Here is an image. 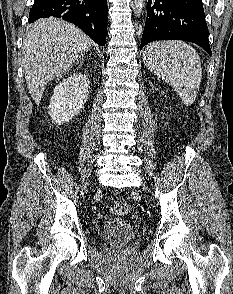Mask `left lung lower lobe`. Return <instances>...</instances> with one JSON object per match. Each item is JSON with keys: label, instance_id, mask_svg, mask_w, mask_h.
Returning <instances> with one entry per match:
<instances>
[{"label": "left lung lower lobe", "instance_id": "0a47b994", "mask_svg": "<svg viewBox=\"0 0 233 294\" xmlns=\"http://www.w3.org/2000/svg\"><path fill=\"white\" fill-rule=\"evenodd\" d=\"M147 10L140 49L155 40H183L211 55L202 0H148Z\"/></svg>", "mask_w": 233, "mask_h": 294}]
</instances>
